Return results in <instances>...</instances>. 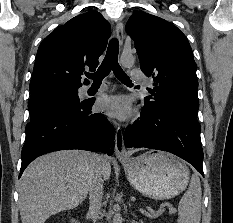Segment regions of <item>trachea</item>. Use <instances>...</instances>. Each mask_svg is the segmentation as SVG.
<instances>
[{"instance_id": "1", "label": "trachea", "mask_w": 233, "mask_h": 223, "mask_svg": "<svg viewBox=\"0 0 233 223\" xmlns=\"http://www.w3.org/2000/svg\"><path fill=\"white\" fill-rule=\"evenodd\" d=\"M118 51V40L116 38H112V40L109 42L105 58L99 66L97 72L87 74V78H92L93 83H101L102 80L109 75L110 71L113 70L115 77L118 78L120 82L127 85H132L128 75H126L118 63Z\"/></svg>"}]
</instances>
